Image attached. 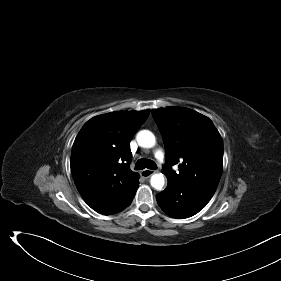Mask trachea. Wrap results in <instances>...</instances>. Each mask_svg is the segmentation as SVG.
<instances>
[{
  "instance_id": "3493384b",
  "label": "trachea",
  "mask_w": 281,
  "mask_h": 281,
  "mask_svg": "<svg viewBox=\"0 0 281 281\" xmlns=\"http://www.w3.org/2000/svg\"><path fill=\"white\" fill-rule=\"evenodd\" d=\"M148 168V169H156L157 168V165L154 161L152 160H144V159H139L137 162H136V165H135V169L136 170H142V169H145V168Z\"/></svg>"
}]
</instances>
